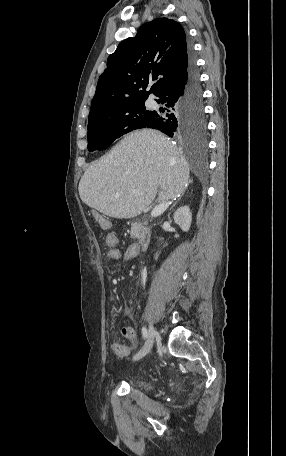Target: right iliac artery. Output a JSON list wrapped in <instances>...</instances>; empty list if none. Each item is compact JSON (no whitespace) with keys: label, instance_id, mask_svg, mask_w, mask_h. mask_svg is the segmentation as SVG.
Instances as JSON below:
<instances>
[{"label":"right iliac artery","instance_id":"right-iliac-artery-1","mask_svg":"<svg viewBox=\"0 0 286 456\" xmlns=\"http://www.w3.org/2000/svg\"><path fill=\"white\" fill-rule=\"evenodd\" d=\"M142 334H143L144 339H146L148 337V331L145 327L142 328Z\"/></svg>","mask_w":286,"mask_h":456}]
</instances>
